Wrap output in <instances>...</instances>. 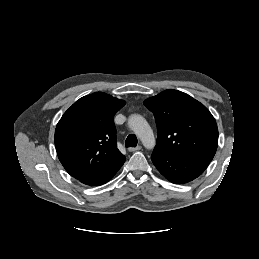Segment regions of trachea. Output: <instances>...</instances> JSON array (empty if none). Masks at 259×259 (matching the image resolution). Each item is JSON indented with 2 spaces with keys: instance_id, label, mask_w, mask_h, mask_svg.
Here are the masks:
<instances>
[{
  "instance_id": "3493384b",
  "label": "trachea",
  "mask_w": 259,
  "mask_h": 259,
  "mask_svg": "<svg viewBox=\"0 0 259 259\" xmlns=\"http://www.w3.org/2000/svg\"><path fill=\"white\" fill-rule=\"evenodd\" d=\"M137 146V137L134 134L128 135L126 138V147H136Z\"/></svg>"
}]
</instances>
